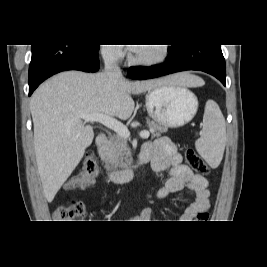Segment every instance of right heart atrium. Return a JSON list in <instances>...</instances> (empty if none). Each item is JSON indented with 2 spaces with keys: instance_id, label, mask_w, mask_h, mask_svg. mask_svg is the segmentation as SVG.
<instances>
[{
  "instance_id": "obj_1",
  "label": "right heart atrium",
  "mask_w": 267,
  "mask_h": 267,
  "mask_svg": "<svg viewBox=\"0 0 267 267\" xmlns=\"http://www.w3.org/2000/svg\"><path fill=\"white\" fill-rule=\"evenodd\" d=\"M103 56L108 60H118L122 56V49L118 46H103Z\"/></svg>"
}]
</instances>
